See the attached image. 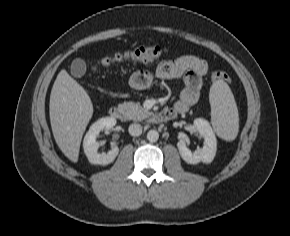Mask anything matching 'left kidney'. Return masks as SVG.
I'll return each mask as SVG.
<instances>
[{"instance_id": "left-kidney-1", "label": "left kidney", "mask_w": 290, "mask_h": 236, "mask_svg": "<svg viewBox=\"0 0 290 236\" xmlns=\"http://www.w3.org/2000/svg\"><path fill=\"white\" fill-rule=\"evenodd\" d=\"M194 126L199 135L204 138L202 149L192 152L187 148V140L183 138L177 143L179 153L188 164H197L199 162L211 163L215 157L217 147L215 134L209 122L205 119H195Z\"/></svg>"}]
</instances>
